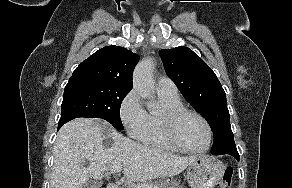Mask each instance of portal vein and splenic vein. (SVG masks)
I'll return each instance as SVG.
<instances>
[{
  "label": "portal vein and splenic vein",
  "mask_w": 292,
  "mask_h": 188,
  "mask_svg": "<svg viewBox=\"0 0 292 188\" xmlns=\"http://www.w3.org/2000/svg\"><path fill=\"white\" fill-rule=\"evenodd\" d=\"M122 168L121 167H112L109 171V173H117L119 171H121ZM137 188H156V187H151V186H145V185H140V184H137L136 185Z\"/></svg>",
  "instance_id": "portal-vein-and-splenic-vein-1"
}]
</instances>
